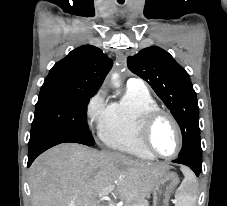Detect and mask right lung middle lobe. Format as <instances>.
<instances>
[{
	"label": "right lung middle lobe",
	"instance_id": "obj_1",
	"mask_svg": "<svg viewBox=\"0 0 227 206\" xmlns=\"http://www.w3.org/2000/svg\"><path fill=\"white\" fill-rule=\"evenodd\" d=\"M93 92L58 87L41 88L35 106L30 141L47 133H61L93 146L95 141L86 125L85 106Z\"/></svg>",
	"mask_w": 227,
	"mask_h": 206
}]
</instances>
